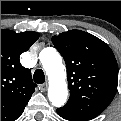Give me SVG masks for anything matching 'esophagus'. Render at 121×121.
Masks as SVG:
<instances>
[{"label":"esophagus","instance_id":"esophagus-1","mask_svg":"<svg viewBox=\"0 0 121 121\" xmlns=\"http://www.w3.org/2000/svg\"><path fill=\"white\" fill-rule=\"evenodd\" d=\"M47 88H48V84H47V83H43V84L40 86V90H41L42 92H45V91L47 90Z\"/></svg>","mask_w":121,"mask_h":121}]
</instances>
